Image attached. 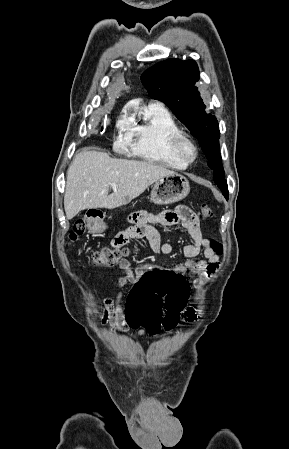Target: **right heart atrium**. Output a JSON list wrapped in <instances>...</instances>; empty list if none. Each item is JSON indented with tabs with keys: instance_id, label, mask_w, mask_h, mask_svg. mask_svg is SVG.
I'll return each mask as SVG.
<instances>
[{
	"instance_id": "d8ad5b80",
	"label": "right heart atrium",
	"mask_w": 289,
	"mask_h": 449,
	"mask_svg": "<svg viewBox=\"0 0 289 449\" xmlns=\"http://www.w3.org/2000/svg\"><path fill=\"white\" fill-rule=\"evenodd\" d=\"M116 144L122 147L130 145L133 137L132 121L124 110L118 117L116 124Z\"/></svg>"
}]
</instances>
